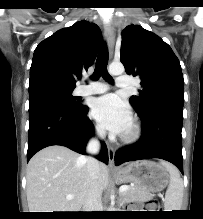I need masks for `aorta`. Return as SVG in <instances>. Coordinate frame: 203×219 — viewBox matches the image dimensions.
<instances>
[{
  "label": "aorta",
  "instance_id": "aorta-1",
  "mask_svg": "<svg viewBox=\"0 0 203 219\" xmlns=\"http://www.w3.org/2000/svg\"><path fill=\"white\" fill-rule=\"evenodd\" d=\"M108 72L111 75H121L124 72V66L120 62H113L109 65Z\"/></svg>",
  "mask_w": 203,
  "mask_h": 219
}]
</instances>
